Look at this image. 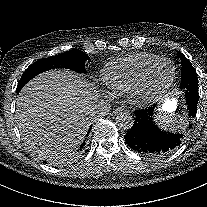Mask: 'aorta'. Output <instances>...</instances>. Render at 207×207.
Instances as JSON below:
<instances>
[{"label":"aorta","instance_id":"762f6f07","mask_svg":"<svg viewBox=\"0 0 207 207\" xmlns=\"http://www.w3.org/2000/svg\"><path fill=\"white\" fill-rule=\"evenodd\" d=\"M134 119L133 117L127 112H120L116 116V125L119 127L120 130H129L133 126Z\"/></svg>","mask_w":207,"mask_h":207}]
</instances>
